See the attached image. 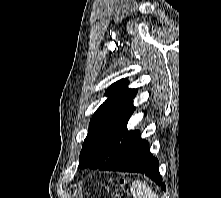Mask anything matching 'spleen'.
Instances as JSON below:
<instances>
[{
    "label": "spleen",
    "mask_w": 221,
    "mask_h": 198,
    "mask_svg": "<svg viewBox=\"0 0 221 198\" xmlns=\"http://www.w3.org/2000/svg\"><path fill=\"white\" fill-rule=\"evenodd\" d=\"M131 193L134 198H159L151 187L141 181H134L132 183Z\"/></svg>",
    "instance_id": "obj_1"
}]
</instances>
